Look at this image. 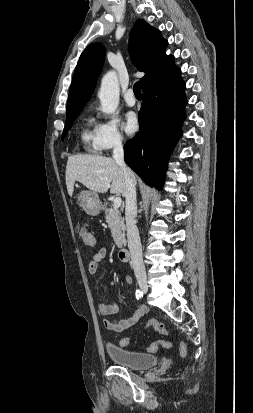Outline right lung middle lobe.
Segmentation results:
<instances>
[{
  "mask_svg": "<svg viewBox=\"0 0 253 413\" xmlns=\"http://www.w3.org/2000/svg\"><path fill=\"white\" fill-rule=\"evenodd\" d=\"M78 115L79 114L66 117V126L63 130L62 139L66 136L68 129L72 126V123L74 122V120L77 118Z\"/></svg>",
  "mask_w": 253,
  "mask_h": 413,
  "instance_id": "obj_1",
  "label": "right lung middle lobe"
}]
</instances>
